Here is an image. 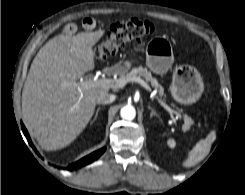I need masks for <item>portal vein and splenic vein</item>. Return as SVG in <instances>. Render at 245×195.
<instances>
[{
  "mask_svg": "<svg viewBox=\"0 0 245 195\" xmlns=\"http://www.w3.org/2000/svg\"><path fill=\"white\" fill-rule=\"evenodd\" d=\"M128 81L139 83L146 90L151 91L150 86L143 79L137 76L132 77L129 80H120V81H115L113 79H97V78H92L87 81H83L81 79L80 82H78L77 84L92 86V87L96 86V87H108V88H122L126 85ZM158 101L170 113V115L175 116L176 119H181V114L178 111L170 108L162 100L158 99Z\"/></svg>",
  "mask_w": 245,
  "mask_h": 195,
  "instance_id": "portal-vein-and-splenic-vein-1",
  "label": "portal vein and splenic vein"
}]
</instances>
